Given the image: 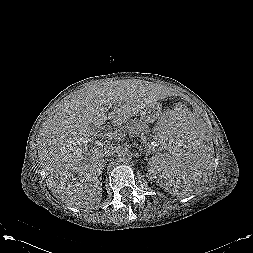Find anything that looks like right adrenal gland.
Listing matches in <instances>:
<instances>
[{
    "label": "right adrenal gland",
    "instance_id": "2a0ac1e0",
    "mask_svg": "<svg viewBox=\"0 0 253 253\" xmlns=\"http://www.w3.org/2000/svg\"><path fill=\"white\" fill-rule=\"evenodd\" d=\"M108 161H109L108 158H106V159L104 160V167L106 166V164H107Z\"/></svg>",
    "mask_w": 253,
    "mask_h": 253
}]
</instances>
